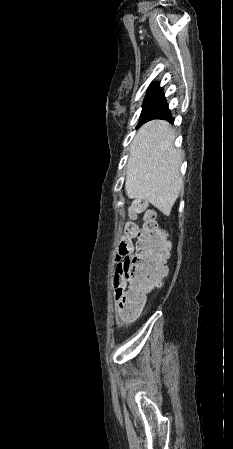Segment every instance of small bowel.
I'll use <instances>...</instances> for the list:
<instances>
[{"instance_id":"obj_1","label":"small bowel","mask_w":233,"mask_h":449,"mask_svg":"<svg viewBox=\"0 0 233 449\" xmlns=\"http://www.w3.org/2000/svg\"><path fill=\"white\" fill-rule=\"evenodd\" d=\"M112 284L114 289V297L118 302H121L127 295L129 281L128 272L119 264L116 266Z\"/></svg>"}]
</instances>
